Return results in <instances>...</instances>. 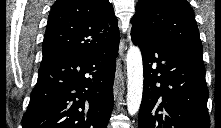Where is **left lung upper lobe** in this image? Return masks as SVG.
<instances>
[{
  "mask_svg": "<svg viewBox=\"0 0 221 128\" xmlns=\"http://www.w3.org/2000/svg\"><path fill=\"white\" fill-rule=\"evenodd\" d=\"M142 39H162L202 57L193 10L186 0H139L132 30Z\"/></svg>",
  "mask_w": 221,
  "mask_h": 128,
  "instance_id": "obj_1",
  "label": "left lung upper lobe"
}]
</instances>
